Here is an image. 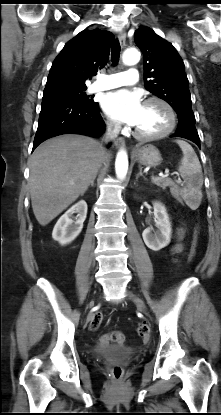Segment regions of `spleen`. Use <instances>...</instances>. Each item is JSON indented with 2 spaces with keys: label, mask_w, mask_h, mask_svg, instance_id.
<instances>
[{
  "label": "spleen",
  "mask_w": 221,
  "mask_h": 415,
  "mask_svg": "<svg viewBox=\"0 0 221 415\" xmlns=\"http://www.w3.org/2000/svg\"><path fill=\"white\" fill-rule=\"evenodd\" d=\"M176 143L183 152L178 171L184 180L185 186L180 189V195L192 209H196L202 200V168L190 144L183 140H176Z\"/></svg>",
  "instance_id": "1"
}]
</instances>
